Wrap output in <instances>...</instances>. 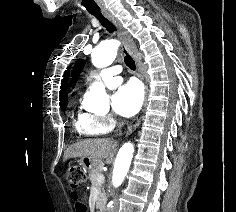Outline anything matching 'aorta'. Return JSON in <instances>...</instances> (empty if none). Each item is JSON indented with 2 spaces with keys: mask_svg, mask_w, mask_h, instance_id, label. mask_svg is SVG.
Segmentation results:
<instances>
[{
  "mask_svg": "<svg viewBox=\"0 0 236 212\" xmlns=\"http://www.w3.org/2000/svg\"><path fill=\"white\" fill-rule=\"evenodd\" d=\"M118 45L119 43L116 40H107L99 44L91 55L93 65L102 68L112 64L117 55ZM85 101L87 107L91 110L102 105H108L109 97L106 94L105 86L101 82H94L85 94ZM133 152L134 146L129 142L120 148L113 169V187H119L124 181L131 164Z\"/></svg>",
  "mask_w": 236,
  "mask_h": 212,
  "instance_id": "762f6f07",
  "label": "aorta"
}]
</instances>
